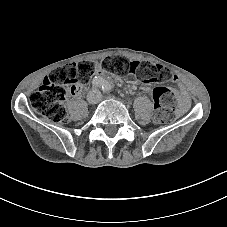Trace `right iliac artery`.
I'll list each match as a JSON object with an SVG mask.
<instances>
[{
    "label": "right iliac artery",
    "mask_w": 227,
    "mask_h": 227,
    "mask_svg": "<svg viewBox=\"0 0 227 227\" xmlns=\"http://www.w3.org/2000/svg\"><path fill=\"white\" fill-rule=\"evenodd\" d=\"M92 84L94 87L100 88V87H103L104 81L102 79H96L93 81Z\"/></svg>",
    "instance_id": "82829eb1"
}]
</instances>
